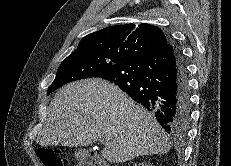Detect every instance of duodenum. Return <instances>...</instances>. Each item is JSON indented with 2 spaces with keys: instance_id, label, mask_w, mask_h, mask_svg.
<instances>
[{
  "instance_id": "1",
  "label": "duodenum",
  "mask_w": 231,
  "mask_h": 166,
  "mask_svg": "<svg viewBox=\"0 0 231 166\" xmlns=\"http://www.w3.org/2000/svg\"><path fill=\"white\" fill-rule=\"evenodd\" d=\"M97 166H105V164L101 161H97Z\"/></svg>"
}]
</instances>
